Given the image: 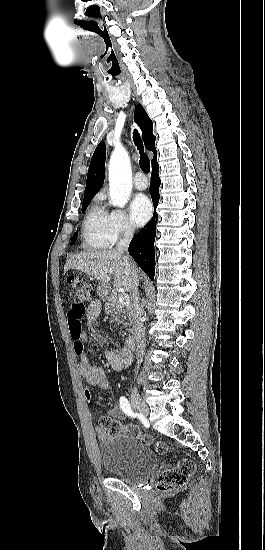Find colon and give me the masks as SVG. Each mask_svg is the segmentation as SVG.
Masks as SVG:
<instances>
[{
    "label": "colon",
    "mask_w": 265,
    "mask_h": 550,
    "mask_svg": "<svg viewBox=\"0 0 265 550\" xmlns=\"http://www.w3.org/2000/svg\"><path fill=\"white\" fill-rule=\"evenodd\" d=\"M68 284L72 294V305L68 311L70 318V328L80 330V325H76L74 319L81 320L86 312V303L93 296V289L90 284L82 278L70 276ZM99 429L105 435L116 437L124 436L140 440L142 443L154 445L155 450L160 454L168 451V446L163 442H154L152 437L135 425H124L112 417H102L99 422ZM196 466L189 459L180 460L174 467L163 470L156 479V489L163 494H170L181 489L194 474Z\"/></svg>",
    "instance_id": "colon-1"
}]
</instances>
